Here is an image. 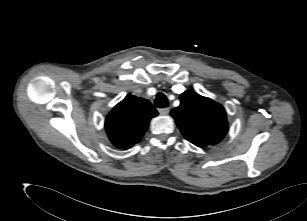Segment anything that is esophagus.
Here are the masks:
<instances>
[{"instance_id": "1", "label": "esophagus", "mask_w": 307, "mask_h": 221, "mask_svg": "<svg viewBox=\"0 0 307 221\" xmlns=\"http://www.w3.org/2000/svg\"><path fill=\"white\" fill-rule=\"evenodd\" d=\"M170 111V109L167 107V108H161L159 109V113L163 114V115H166L168 114Z\"/></svg>"}]
</instances>
